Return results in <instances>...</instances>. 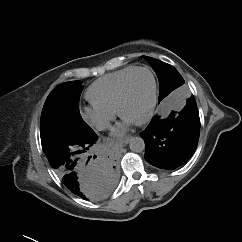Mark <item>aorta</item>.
Returning <instances> with one entry per match:
<instances>
[{
    "mask_svg": "<svg viewBox=\"0 0 242 242\" xmlns=\"http://www.w3.org/2000/svg\"><path fill=\"white\" fill-rule=\"evenodd\" d=\"M129 147L132 152L140 153L145 149V142L141 137H132L129 142Z\"/></svg>",
    "mask_w": 242,
    "mask_h": 242,
    "instance_id": "aorta-1",
    "label": "aorta"
}]
</instances>
